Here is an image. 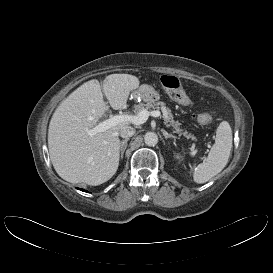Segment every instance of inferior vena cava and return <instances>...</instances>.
<instances>
[{
  "instance_id": "602c4592",
  "label": "inferior vena cava",
  "mask_w": 273,
  "mask_h": 273,
  "mask_svg": "<svg viewBox=\"0 0 273 273\" xmlns=\"http://www.w3.org/2000/svg\"><path fill=\"white\" fill-rule=\"evenodd\" d=\"M135 129L133 127H130V126H125V127H122L118 134L122 137V138H129V137H132L134 134H135Z\"/></svg>"
}]
</instances>
